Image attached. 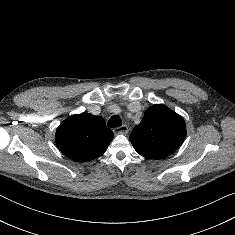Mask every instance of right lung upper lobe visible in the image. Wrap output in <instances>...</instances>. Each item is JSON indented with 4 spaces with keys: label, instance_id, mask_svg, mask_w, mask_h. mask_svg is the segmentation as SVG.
Segmentation results:
<instances>
[{
    "label": "right lung upper lobe",
    "instance_id": "obj_1",
    "mask_svg": "<svg viewBox=\"0 0 235 235\" xmlns=\"http://www.w3.org/2000/svg\"><path fill=\"white\" fill-rule=\"evenodd\" d=\"M113 136L101 116L81 113L70 116L59 125L55 141L64 155L77 162H86L101 156Z\"/></svg>",
    "mask_w": 235,
    "mask_h": 235
}]
</instances>
